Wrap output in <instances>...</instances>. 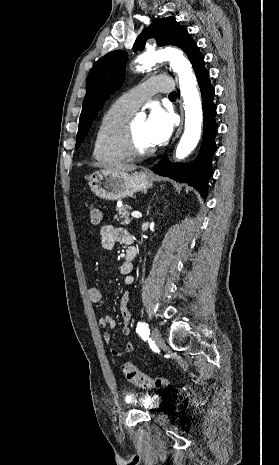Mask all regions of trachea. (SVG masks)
Instances as JSON below:
<instances>
[{"instance_id": "obj_1", "label": "trachea", "mask_w": 279, "mask_h": 465, "mask_svg": "<svg viewBox=\"0 0 279 465\" xmlns=\"http://www.w3.org/2000/svg\"><path fill=\"white\" fill-rule=\"evenodd\" d=\"M169 98H176V92H171L169 94Z\"/></svg>"}]
</instances>
